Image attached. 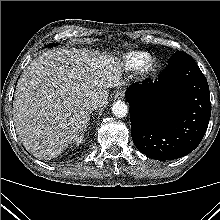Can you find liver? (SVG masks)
Wrapping results in <instances>:
<instances>
[{
  "label": "liver",
  "mask_w": 220,
  "mask_h": 220,
  "mask_svg": "<svg viewBox=\"0 0 220 220\" xmlns=\"http://www.w3.org/2000/svg\"><path fill=\"white\" fill-rule=\"evenodd\" d=\"M118 57L87 48H60L39 55L18 81L14 125L25 148L50 160L82 133L93 111V95L107 104L109 88L124 84Z\"/></svg>",
  "instance_id": "1"
}]
</instances>
